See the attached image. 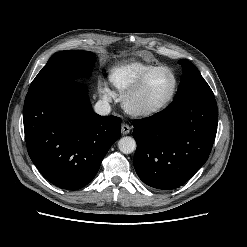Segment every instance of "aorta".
Instances as JSON below:
<instances>
[{"mask_svg":"<svg viewBox=\"0 0 247 247\" xmlns=\"http://www.w3.org/2000/svg\"><path fill=\"white\" fill-rule=\"evenodd\" d=\"M118 148L124 154H130L136 149V142L134 138L126 136L118 141Z\"/></svg>","mask_w":247,"mask_h":247,"instance_id":"1","label":"aorta"}]
</instances>
